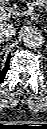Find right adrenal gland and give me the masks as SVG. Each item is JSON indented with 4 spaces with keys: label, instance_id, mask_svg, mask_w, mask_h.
I'll use <instances>...</instances> for the list:
<instances>
[{
    "label": "right adrenal gland",
    "instance_id": "obj_1",
    "mask_svg": "<svg viewBox=\"0 0 47 129\" xmlns=\"http://www.w3.org/2000/svg\"><path fill=\"white\" fill-rule=\"evenodd\" d=\"M6 40H7V39H4V38L2 39V38H1V39H0V44H2V43H3L4 41H6Z\"/></svg>",
    "mask_w": 47,
    "mask_h": 129
}]
</instances>
